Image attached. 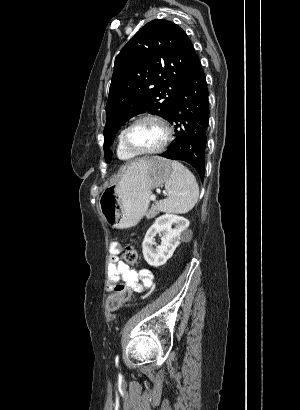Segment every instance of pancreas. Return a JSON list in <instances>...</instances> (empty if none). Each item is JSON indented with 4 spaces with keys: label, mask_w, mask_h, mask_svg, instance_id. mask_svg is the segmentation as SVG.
<instances>
[{
    "label": "pancreas",
    "mask_w": 300,
    "mask_h": 410,
    "mask_svg": "<svg viewBox=\"0 0 300 410\" xmlns=\"http://www.w3.org/2000/svg\"><path fill=\"white\" fill-rule=\"evenodd\" d=\"M159 210H160V203L155 202V204H152L151 209L147 212L146 217L148 219L154 218L159 212Z\"/></svg>",
    "instance_id": "obj_1"
}]
</instances>
